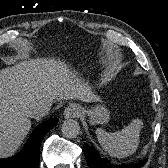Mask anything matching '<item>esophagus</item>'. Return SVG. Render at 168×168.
Wrapping results in <instances>:
<instances>
[{"label": "esophagus", "mask_w": 168, "mask_h": 168, "mask_svg": "<svg viewBox=\"0 0 168 168\" xmlns=\"http://www.w3.org/2000/svg\"><path fill=\"white\" fill-rule=\"evenodd\" d=\"M81 113H82L81 106L77 104H71L65 108L63 115L65 118H75L79 117Z\"/></svg>", "instance_id": "obj_1"}]
</instances>
